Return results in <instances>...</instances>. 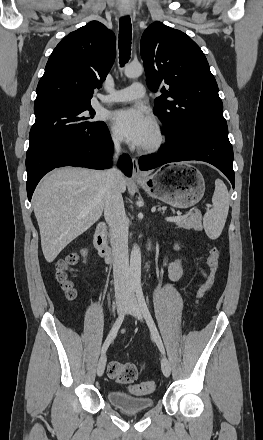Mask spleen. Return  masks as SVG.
I'll use <instances>...</instances> for the list:
<instances>
[{
    "label": "spleen",
    "instance_id": "spleen-1",
    "mask_svg": "<svg viewBox=\"0 0 263 440\" xmlns=\"http://www.w3.org/2000/svg\"><path fill=\"white\" fill-rule=\"evenodd\" d=\"M230 197L226 185L221 179L215 181V191L212 197L213 207L208 210L203 218V226L207 236L217 239L224 228L228 211Z\"/></svg>",
    "mask_w": 263,
    "mask_h": 440
}]
</instances>
